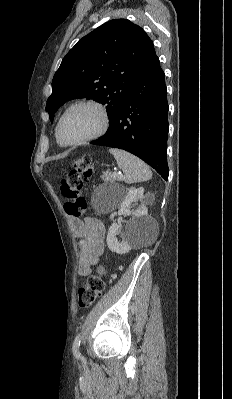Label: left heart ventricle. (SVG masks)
Masks as SVG:
<instances>
[{
	"instance_id": "b2bd125f",
	"label": "left heart ventricle",
	"mask_w": 232,
	"mask_h": 399,
	"mask_svg": "<svg viewBox=\"0 0 232 399\" xmlns=\"http://www.w3.org/2000/svg\"><path fill=\"white\" fill-rule=\"evenodd\" d=\"M101 117L91 106H77L66 115L62 132L69 140H80L93 134L100 126Z\"/></svg>"
}]
</instances>
